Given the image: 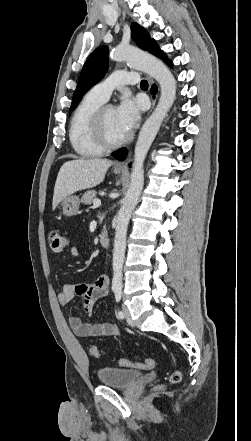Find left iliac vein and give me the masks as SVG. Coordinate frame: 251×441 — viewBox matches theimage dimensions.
Wrapping results in <instances>:
<instances>
[{
    "label": "left iliac vein",
    "instance_id": "4c4485c4",
    "mask_svg": "<svg viewBox=\"0 0 251 441\" xmlns=\"http://www.w3.org/2000/svg\"><path fill=\"white\" fill-rule=\"evenodd\" d=\"M123 313H124V316H125L127 322L131 325H134V323L131 320L129 310H128L127 306H125V305L123 306Z\"/></svg>",
    "mask_w": 251,
    "mask_h": 441
}]
</instances>
